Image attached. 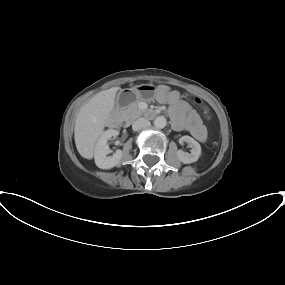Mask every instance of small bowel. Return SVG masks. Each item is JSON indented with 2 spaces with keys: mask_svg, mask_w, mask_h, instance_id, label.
Instances as JSON below:
<instances>
[{
  "mask_svg": "<svg viewBox=\"0 0 285 285\" xmlns=\"http://www.w3.org/2000/svg\"><path fill=\"white\" fill-rule=\"evenodd\" d=\"M156 99L160 103L170 105V116L173 125L178 130H186L199 142H205L207 132L201 119L190 106L181 99L178 91L170 90L167 86H159Z\"/></svg>",
  "mask_w": 285,
  "mask_h": 285,
  "instance_id": "c3829d8e",
  "label": "small bowel"
}]
</instances>
